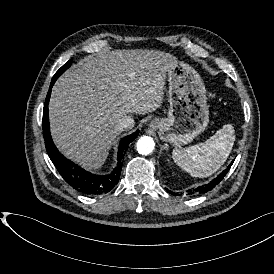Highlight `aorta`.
Returning <instances> with one entry per match:
<instances>
[{
  "instance_id": "obj_1",
  "label": "aorta",
  "mask_w": 274,
  "mask_h": 274,
  "mask_svg": "<svg viewBox=\"0 0 274 274\" xmlns=\"http://www.w3.org/2000/svg\"><path fill=\"white\" fill-rule=\"evenodd\" d=\"M154 140L149 136H142L137 141V151L139 154L148 155L154 149Z\"/></svg>"
}]
</instances>
